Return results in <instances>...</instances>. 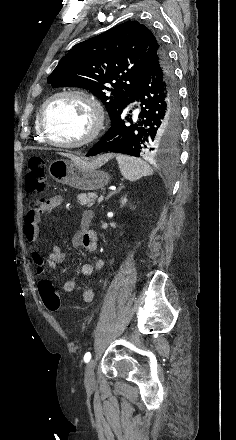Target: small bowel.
Listing matches in <instances>:
<instances>
[{"mask_svg":"<svg viewBox=\"0 0 236 440\" xmlns=\"http://www.w3.org/2000/svg\"><path fill=\"white\" fill-rule=\"evenodd\" d=\"M63 198L61 196H54L49 199L40 200L35 206L31 207L24 218V238L30 244H36L39 235V223L41 218L46 216L49 211L61 205ZM92 221V213L85 211L79 223V227L73 236L72 244L74 247H82L86 250L97 252V235L90 229ZM33 263L38 275L42 278L46 274V268L54 269L57 265L65 260L64 252L57 246L53 247L48 256H43L38 250H34L32 254ZM102 261L97 264H84L81 267V274L83 276H91L95 270L102 267ZM77 288L75 280H67L63 285L65 292H73ZM82 298L85 302H91L94 299V291L92 288H85L82 292Z\"/></svg>","mask_w":236,"mask_h":440,"instance_id":"small-bowel-1","label":"small bowel"}]
</instances>
